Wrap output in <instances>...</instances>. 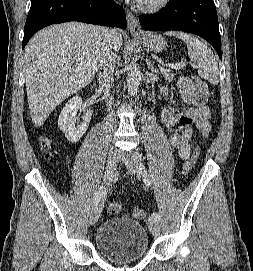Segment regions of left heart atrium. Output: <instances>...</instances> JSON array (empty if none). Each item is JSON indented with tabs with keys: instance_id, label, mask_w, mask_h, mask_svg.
Returning a JSON list of instances; mask_svg holds the SVG:
<instances>
[{
	"instance_id": "1",
	"label": "left heart atrium",
	"mask_w": 253,
	"mask_h": 271,
	"mask_svg": "<svg viewBox=\"0 0 253 271\" xmlns=\"http://www.w3.org/2000/svg\"><path fill=\"white\" fill-rule=\"evenodd\" d=\"M133 1H135L136 3H139V4H143V3H145L147 0H133Z\"/></svg>"
}]
</instances>
